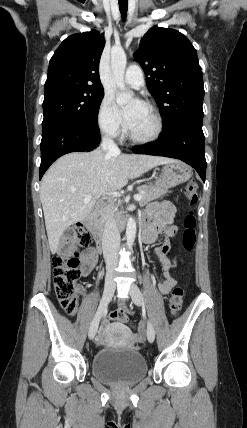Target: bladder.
Here are the masks:
<instances>
[{
	"label": "bladder",
	"instance_id": "obj_1",
	"mask_svg": "<svg viewBox=\"0 0 247 428\" xmlns=\"http://www.w3.org/2000/svg\"><path fill=\"white\" fill-rule=\"evenodd\" d=\"M95 377L110 384H133L147 371L143 356L132 348H105L98 351L91 363Z\"/></svg>",
	"mask_w": 247,
	"mask_h": 428
}]
</instances>
